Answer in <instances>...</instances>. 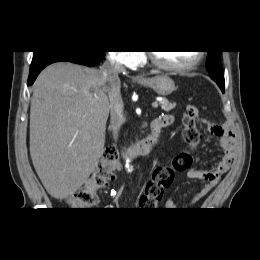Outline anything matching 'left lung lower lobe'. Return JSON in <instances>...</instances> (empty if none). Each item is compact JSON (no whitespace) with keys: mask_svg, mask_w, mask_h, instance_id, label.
Listing matches in <instances>:
<instances>
[{"mask_svg":"<svg viewBox=\"0 0 260 260\" xmlns=\"http://www.w3.org/2000/svg\"><path fill=\"white\" fill-rule=\"evenodd\" d=\"M211 78L218 84L221 91L224 93V77L211 76Z\"/></svg>","mask_w":260,"mask_h":260,"instance_id":"obj_1","label":"left lung lower lobe"}]
</instances>
